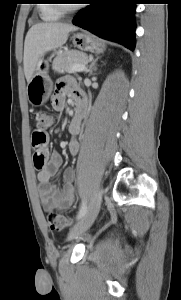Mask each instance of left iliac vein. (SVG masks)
Returning a JSON list of instances; mask_svg holds the SVG:
<instances>
[{
    "label": "left iliac vein",
    "instance_id": "obj_1",
    "mask_svg": "<svg viewBox=\"0 0 181 300\" xmlns=\"http://www.w3.org/2000/svg\"><path fill=\"white\" fill-rule=\"evenodd\" d=\"M102 195L103 191L101 187L97 186L91 196L88 210L86 211L85 215L72 227L69 233V238L77 237L90 228L99 213Z\"/></svg>",
    "mask_w": 181,
    "mask_h": 300
}]
</instances>
